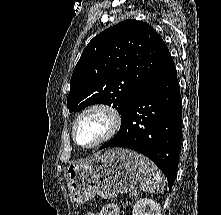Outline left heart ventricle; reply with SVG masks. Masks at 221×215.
<instances>
[{
    "mask_svg": "<svg viewBox=\"0 0 221 215\" xmlns=\"http://www.w3.org/2000/svg\"><path fill=\"white\" fill-rule=\"evenodd\" d=\"M109 126L108 118L102 112H91L78 123L76 137L81 145H91L105 134Z\"/></svg>",
    "mask_w": 221,
    "mask_h": 215,
    "instance_id": "left-heart-ventricle-1",
    "label": "left heart ventricle"
}]
</instances>
